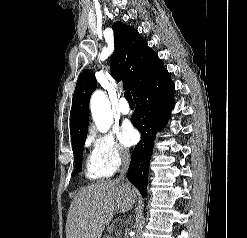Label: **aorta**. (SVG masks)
<instances>
[{"label":"aorta","mask_w":247,"mask_h":238,"mask_svg":"<svg viewBox=\"0 0 247 238\" xmlns=\"http://www.w3.org/2000/svg\"><path fill=\"white\" fill-rule=\"evenodd\" d=\"M90 109L97 129L106 133L113 123V115L109 101L102 91L93 93L90 100Z\"/></svg>","instance_id":"aorta-1"}]
</instances>
